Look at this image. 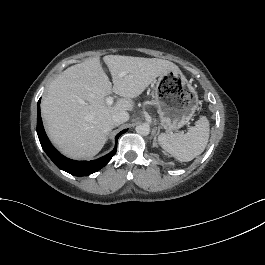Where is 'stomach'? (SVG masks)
Wrapping results in <instances>:
<instances>
[{
	"label": "stomach",
	"instance_id": "0dacf381",
	"mask_svg": "<svg viewBox=\"0 0 265 265\" xmlns=\"http://www.w3.org/2000/svg\"><path fill=\"white\" fill-rule=\"evenodd\" d=\"M155 105L161 125L168 131L189 122L198 106V95L181 71L170 70L155 81Z\"/></svg>",
	"mask_w": 265,
	"mask_h": 265
}]
</instances>
